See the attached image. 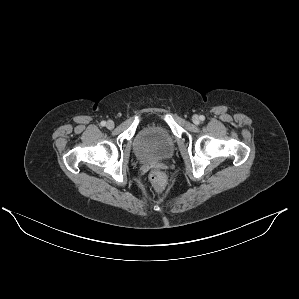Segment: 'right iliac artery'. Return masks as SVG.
<instances>
[{
    "mask_svg": "<svg viewBox=\"0 0 299 299\" xmlns=\"http://www.w3.org/2000/svg\"><path fill=\"white\" fill-rule=\"evenodd\" d=\"M100 125H101V126H105V125H106V122H105V121H102V122L100 123Z\"/></svg>",
    "mask_w": 299,
    "mask_h": 299,
    "instance_id": "1",
    "label": "right iliac artery"
}]
</instances>
